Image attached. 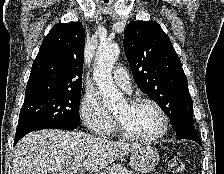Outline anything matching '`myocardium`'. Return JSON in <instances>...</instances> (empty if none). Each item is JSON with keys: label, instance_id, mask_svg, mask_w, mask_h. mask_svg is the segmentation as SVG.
I'll use <instances>...</instances> for the list:
<instances>
[{"label": "myocardium", "instance_id": "1", "mask_svg": "<svg viewBox=\"0 0 224 174\" xmlns=\"http://www.w3.org/2000/svg\"><path fill=\"white\" fill-rule=\"evenodd\" d=\"M126 102L130 106H136L142 103H147L152 105L161 116L162 128L157 134L153 136H139L130 132L121 122V120L115 116L116 128L121 137L127 140L137 141V142H155L165 136V134L168 132V129H169V117L167 113L165 112V110L163 109V107L156 100L150 97L138 96V97L129 98Z\"/></svg>", "mask_w": 224, "mask_h": 174}]
</instances>
